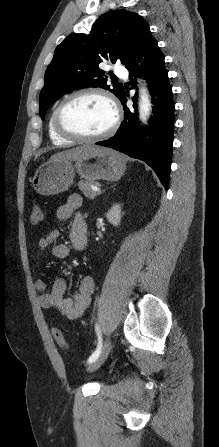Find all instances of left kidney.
Masks as SVG:
<instances>
[{
	"mask_svg": "<svg viewBox=\"0 0 219 447\" xmlns=\"http://www.w3.org/2000/svg\"><path fill=\"white\" fill-rule=\"evenodd\" d=\"M121 212V205L115 204L106 213V218L113 226H118L121 222Z\"/></svg>",
	"mask_w": 219,
	"mask_h": 447,
	"instance_id": "obj_1",
	"label": "left kidney"
}]
</instances>
